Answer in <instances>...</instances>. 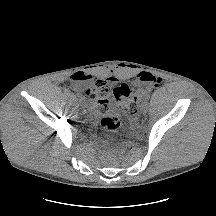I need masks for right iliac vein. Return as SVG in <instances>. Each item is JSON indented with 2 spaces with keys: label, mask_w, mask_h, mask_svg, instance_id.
Masks as SVG:
<instances>
[{
  "label": "right iliac vein",
  "mask_w": 216,
  "mask_h": 216,
  "mask_svg": "<svg viewBox=\"0 0 216 216\" xmlns=\"http://www.w3.org/2000/svg\"><path fill=\"white\" fill-rule=\"evenodd\" d=\"M80 104L82 105L81 108L84 110L86 107L84 106L85 105V101L83 99L80 101Z\"/></svg>",
  "instance_id": "63e3f726"
}]
</instances>
